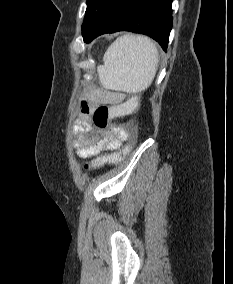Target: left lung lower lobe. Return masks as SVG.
I'll return each instance as SVG.
<instances>
[{
  "mask_svg": "<svg viewBox=\"0 0 233 284\" xmlns=\"http://www.w3.org/2000/svg\"><path fill=\"white\" fill-rule=\"evenodd\" d=\"M171 28L172 0H104L83 38L89 43L105 33L131 31L150 36L166 50Z\"/></svg>",
  "mask_w": 233,
  "mask_h": 284,
  "instance_id": "1",
  "label": "left lung lower lobe"
}]
</instances>
